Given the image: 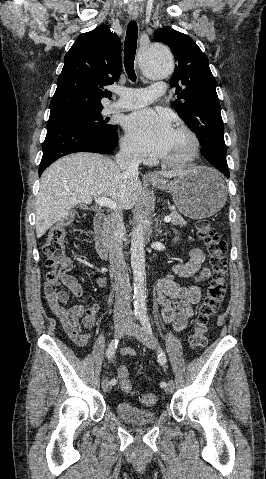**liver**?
<instances>
[{
  "label": "liver",
  "mask_w": 266,
  "mask_h": 479,
  "mask_svg": "<svg viewBox=\"0 0 266 479\" xmlns=\"http://www.w3.org/2000/svg\"><path fill=\"white\" fill-rule=\"evenodd\" d=\"M182 172H160L166 178ZM110 198L118 209H130L142 198L138 175L121 170L110 158L96 153L65 156L41 176L36 199V235L43 236L56 222L67 217L77 204L93 198Z\"/></svg>",
  "instance_id": "1"
}]
</instances>
